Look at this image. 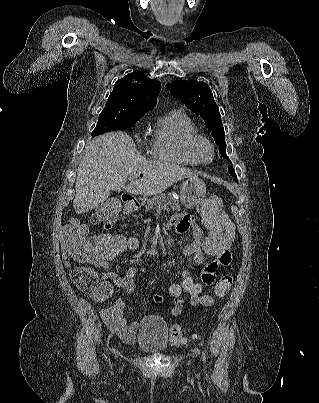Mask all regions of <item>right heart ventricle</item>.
Wrapping results in <instances>:
<instances>
[{
    "mask_svg": "<svg viewBox=\"0 0 319 403\" xmlns=\"http://www.w3.org/2000/svg\"><path fill=\"white\" fill-rule=\"evenodd\" d=\"M198 130L182 109H172L156 121L151 132L150 153L153 157L182 165L199 162L188 149L190 137Z\"/></svg>",
    "mask_w": 319,
    "mask_h": 403,
    "instance_id": "1",
    "label": "right heart ventricle"
}]
</instances>
